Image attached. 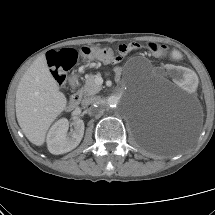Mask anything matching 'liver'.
<instances>
[{"instance_id":"obj_1","label":"liver","mask_w":215,"mask_h":215,"mask_svg":"<svg viewBox=\"0 0 215 215\" xmlns=\"http://www.w3.org/2000/svg\"><path fill=\"white\" fill-rule=\"evenodd\" d=\"M67 98L59 91L45 55L38 57L22 76L16 91V117L27 139L45 142L50 125L65 110Z\"/></svg>"}]
</instances>
